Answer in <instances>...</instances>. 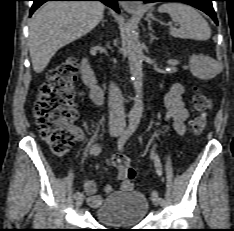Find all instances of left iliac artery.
<instances>
[{
  "instance_id": "left-iliac-artery-1",
  "label": "left iliac artery",
  "mask_w": 234,
  "mask_h": 231,
  "mask_svg": "<svg viewBox=\"0 0 234 231\" xmlns=\"http://www.w3.org/2000/svg\"><path fill=\"white\" fill-rule=\"evenodd\" d=\"M139 124L138 120H134L133 122H131V124L129 125V127L127 128V130L121 135V137L118 139V149L120 151H122L125 143L127 142V140L129 139V137L135 132V130L137 129ZM152 158L154 160V165L157 171L158 175H161L162 173V168H161V162L159 157L155 154L152 153ZM159 203L160 204H164V199L162 197H158Z\"/></svg>"
}]
</instances>
